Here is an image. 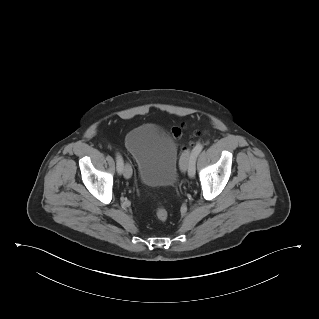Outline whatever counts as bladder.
<instances>
[{"label": "bladder", "instance_id": "31cf9c89", "mask_svg": "<svg viewBox=\"0 0 319 319\" xmlns=\"http://www.w3.org/2000/svg\"><path fill=\"white\" fill-rule=\"evenodd\" d=\"M125 145L143 185L163 188L174 184L179 150L171 135L161 133L154 124H141L126 134Z\"/></svg>", "mask_w": 319, "mask_h": 319}]
</instances>
